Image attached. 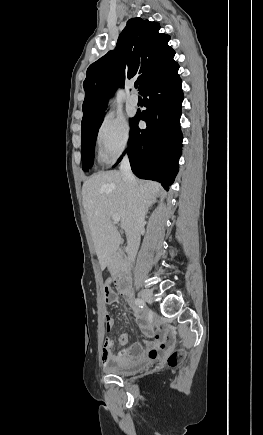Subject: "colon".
I'll return each instance as SVG.
<instances>
[{
	"mask_svg": "<svg viewBox=\"0 0 263 435\" xmlns=\"http://www.w3.org/2000/svg\"><path fill=\"white\" fill-rule=\"evenodd\" d=\"M104 298L106 300H113L115 297L108 289H105ZM112 342H113L112 339L110 338L107 339L103 343V348L105 350H111L114 347V344ZM183 358H184V353L182 351L173 352L168 356L167 363L169 366L174 367L177 366L182 361Z\"/></svg>",
	"mask_w": 263,
	"mask_h": 435,
	"instance_id": "obj_1",
	"label": "colon"
}]
</instances>
